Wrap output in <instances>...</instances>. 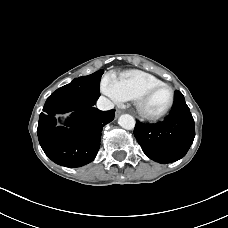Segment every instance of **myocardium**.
<instances>
[{
  "label": "myocardium",
  "mask_w": 228,
  "mask_h": 228,
  "mask_svg": "<svg viewBox=\"0 0 228 228\" xmlns=\"http://www.w3.org/2000/svg\"><path fill=\"white\" fill-rule=\"evenodd\" d=\"M160 87H166L169 89L170 100H169L168 104L166 105V107L163 110H161L160 112H157V113L148 112L144 107L145 101L154 90H156ZM174 101H175L174 89L167 83L162 82V83L150 85L146 89H144L139 94V96L136 98L135 103H136L137 111L141 117L148 119V120H157V119L164 117L171 110V108L174 105Z\"/></svg>",
  "instance_id": "1"
}]
</instances>
